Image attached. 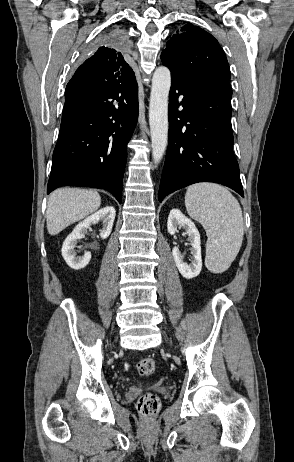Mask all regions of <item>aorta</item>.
I'll return each instance as SVG.
<instances>
[{
    "mask_svg": "<svg viewBox=\"0 0 294 462\" xmlns=\"http://www.w3.org/2000/svg\"><path fill=\"white\" fill-rule=\"evenodd\" d=\"M171 74L167 67H158L152 78L149 104L152 157L158 164L168 144V96Z\"/></svg>",
    "mask_w": 294,
    "mask_h": 462,
    "instance_id": "obj_1",
    "label": "aorta"
}]
</instances>
